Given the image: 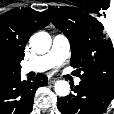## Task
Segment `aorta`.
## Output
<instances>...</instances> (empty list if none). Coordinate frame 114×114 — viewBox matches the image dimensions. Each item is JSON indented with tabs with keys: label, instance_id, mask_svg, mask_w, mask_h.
Instances as JSON below:
<instances>
[{
	"label": "aorta",
	"instance_id": "1",
	"mask_svg": "<svg viewBox=\"0 0 114 114\" xmlns=\"http://www.w3.org/2000/svg\"><path fill=\"white\" fill-rule=\"evenodd\" d=\"M52 44L51 36L47 32H38L31 36L30 46L38 54H44L49 51ZM55 92L64 97L70 92V85L67 81L59 80L55 83Z\"/></svg>",
	"mask_w": 114,
	"mask_h": 114
}]
</instances>
